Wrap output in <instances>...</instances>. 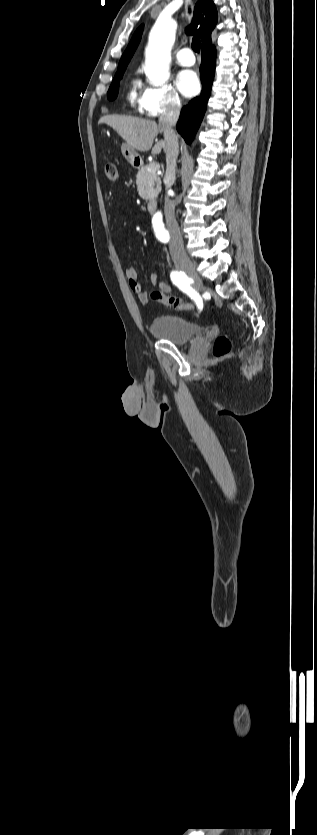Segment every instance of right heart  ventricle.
Listing matches in <instances>:
<instances>
[{
	"label": "right heart ventricle",
	"mask_w": 317,
	"mask_h": 835,
	"mask_svg": "<svg viewBox=\"0 0 317 835\" xmlns=\"http://www.w3.org/2000/svg\"><path fill=\"white\" fill-rule=\"evenodd\" d=\"M137 86H138V84H137V82H136V81H133V82L131 83V86H130V89H129V92H128V100H129L131 103H134V102L138 99V95H137ZM138 100H139V99H138Z\"/></svg>",
	"instance_id": "1"
}]
</instances>
